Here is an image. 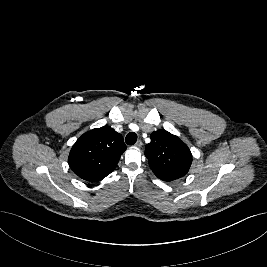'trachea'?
<instances>
[{
    "instance_id": "obj_1",
    "label": "trachea",
    "mask_w": 267,
    "mask_h": 267,
    "mask_svg": "<svg viewBox=\"0 0 267 267\" xmlns=\"http://www.w3.org/2000/svg\"><path fill=\"white\" fill-rule=\"evenodd\" d=\"M127 145H133L137 141V134L135 132H130L126 135L125 138Z\"/></svg>"
}]
</instances>
